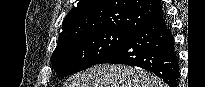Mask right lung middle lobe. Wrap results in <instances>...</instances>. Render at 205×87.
<instances>
[{
  "label": "right lung middle lobe",
  "mask_w": 205,
  "mask_h": 87,
  "mask_svg": "<svg viewBox=\"0 0 205 87\" xmlns=\"http://www.w3.org/2000/svg\"><path fill=\"white\" fill-rule=\"evenodd\" d=\"M132 31L102 29L88 31L58 42L52 55V68L59 77L97 64L120 46Z\"/></svg>",
  "instance_id": "obj_1"
}]
</instances>
